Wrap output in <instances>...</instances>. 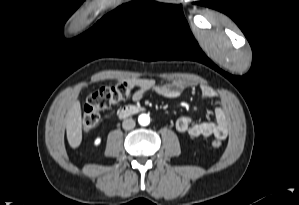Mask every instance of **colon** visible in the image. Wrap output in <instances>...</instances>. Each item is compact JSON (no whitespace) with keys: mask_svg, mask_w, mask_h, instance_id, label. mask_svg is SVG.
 <instances>
[{"mask_svg":"<svg viewBox=\"0 0 299 205\" xmlns=\"http://www.w3.org/2000/svg\"><path fill=\"white\" fill-rule=\"evenodd\" d=\"M136 87L134 80H123L114 86H105L92 92L86 99L82 118L84 132L92 130L99 122V112L127 99ZM214 148H219L222 142L219 139L212 141Z\"/></svg>","mask_w":299,"mask_h":205,"instance_id":"colon-1","label":"colon"}]
</instances>
